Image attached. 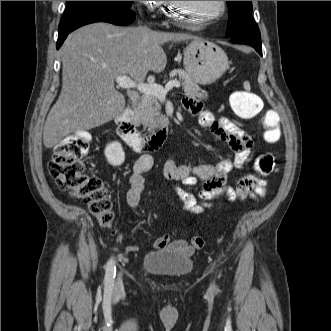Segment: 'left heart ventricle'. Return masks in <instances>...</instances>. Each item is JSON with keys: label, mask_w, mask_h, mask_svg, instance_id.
I'll return each mask as SVG.
<instances>
[{"label": "left heart ventricle", "mask_w": 331, "mask_h": 331, "mask_svg": "<svg viewBox=\"0 0 331 331\" xmlns=\"http://www.w3.org/2000/svg\"><path fill=\"white\" fill-rule=\"evenodd\" d=\"M180 8H177V16L185 21L200 22L210 17L219 9L218 1H180Z\"/></svg>", "instance_id": "1"}]
</instances>
